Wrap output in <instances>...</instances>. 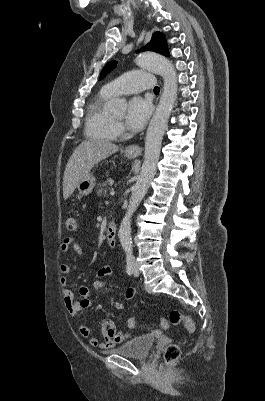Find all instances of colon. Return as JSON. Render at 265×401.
Listing matches in <instances>:
<instances>
[{
	"label": "colon",
	"instance_id": "colon-1",
	"mask_svg": "<svg viewBox=\"0 0 265 401\" xmlns=\"http://www.w3.org/2000/svg\"><path fill=\"white\" fill-rule=\"evenodd\" d=\"M65 225L68 231L73 232L77 229V220L75 219V217L69 216L65 221ZM169 324L171 325L183 324L187 329V331L189 332H193L195 329L193 320L189 316L183 314L178 310L171 311L168 316V319H162L160 323L162 328L168 327ZM128 326L130 328H134L136 326V320L134 317H130L128 319ZM179 355H180V346L178 344L168 345L163 352L164 361L166 363L173 362L179 357Z\"/></svg>",
	"mask_w": 265,
	"mask_h": 401
}]
</instances>
